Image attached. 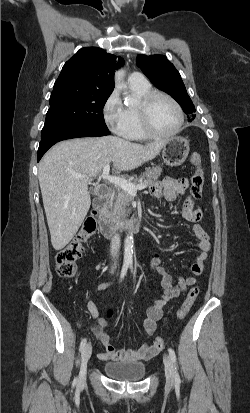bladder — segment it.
<instances>
[{
    "instance_id": "1",
    "label": "bladder",
    "mask_w": 250,
    "mask_h": 413,
    "mask_svg": "<svg viewBox=\"0 0 250 413\" xmlns=\"http://www.w3.org/2000/svg\"><path fill=\"white\" fill-rule=\"evenodd\" d=\"M146 366L140 362H110L103 365V371L114 380L139 381L146 375Z\"/></svg>"
}]
</instances>
